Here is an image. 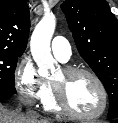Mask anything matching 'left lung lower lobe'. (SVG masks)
I'll return each mask as SVG.
<instances>
[{
    "instance_id": "obj_1",
    "label": "left lung lower lobe",
    "mask_w": 118,
    "mask_h": 123,
    "mask_svg": "<svg viewBox=\"0 0 118 123\" xmlns=\"http://www.w3.org/2000/svg\"><path fill=\"white\" fill-rule=\"evenodd\" d=\"M115 123H118V119H115Z\"/></svg>"
}]
</instances>
